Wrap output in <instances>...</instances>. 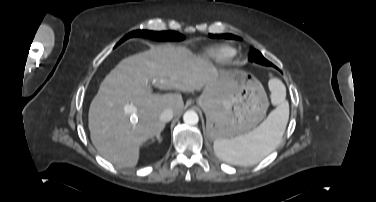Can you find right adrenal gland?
Returning <instances> with one entry per match:
<instances>
[{"label": "right adrenal gland", "instance_id": "right-adrenal-gland-1", "mask_svg": "<svg viewBox=\"0 0 376 202\" xmlns=\"http://www.w3.org/2000/svg\"><path fill=\"white\" fill-rule=\"evenodd\" d=\"M156 139L158 140V142H160L162 139L160 138V134H158L157 136H156ZM154 139L152 138V141H153Z\"/></svg>", "mask_w": 376, "mask_h": 202}]
</instances>
